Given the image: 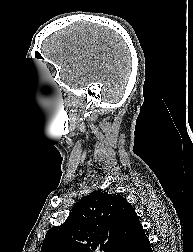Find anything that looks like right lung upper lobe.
Masks as SVG:
<instances>
[{"mask_svg":"<svg viewBox=\"0 0 193 252\" xmlns=\"http://www.w3.org/2000/svg\"><path fill=\"white\" fill-rule=\"evenodd\" d=\"M142 229L124 197L94 191L62 225L48 230L41 252H122Z\"/></svg>","mask_w":193,"mask_h":252,"instance_id":"obj_1","label":"right lung upper lobe"}]
</instances>
